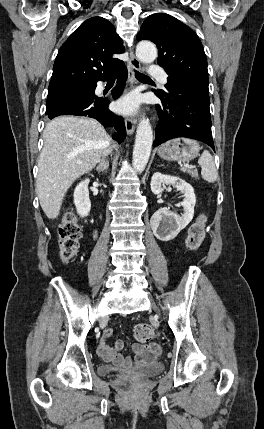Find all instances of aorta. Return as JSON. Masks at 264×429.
I'll return each instance as SVG.
<instances>
[{
    "instance_id": "obj_1",
    "label": "aorta",
    "mask_w": 264,
    "mask_h": 429,
    "mask_svg": "<svg viewBox=\"0 0 264 429\" xmlns=\"http://www.w3.org/2000/svg\"><path fill=\"white\" fill-rule=\"evenodd\" d=\"M136 56L142 63H152L157 57V48L150 41H140L136 46ZM153 144V131L149 119L142 118L136 131L133 149V167L142 172L149 160Z\"/></svg>"
}]
</instances>
